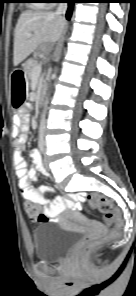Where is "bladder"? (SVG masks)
<instances>
[{
  "label": "bladder",
  "instance_id": "31cf9c89",
  "mask_svg": "<svg viewBox=\"0 0 136 296\" xmlns=\"http://www.w3.org/2000/svg\"><path fill=\"white\" fill-rule=\"evenodd\" d=\"M79 232L68 230L58 223H43L32 233L35 258L42 262L62 259L77 242Z\"/></svg>",
  "mask_w": 136,
  "mask_h": 296
}]
</instances>
